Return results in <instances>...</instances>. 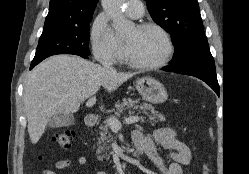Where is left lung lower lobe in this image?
Returning <instances> with one entry per match:
<instances>
[{"mask_svg":"<svg viewBox=\"0 0 249 174\" xmlns=\"http://www.w3.org/2000/svg\"><path fill=\"white\" fill-rule=\"evenodd\" d=\"M163 70L168 71V72H175L179 74L197 77L203 80L205 83H207L219 96L220 89H219V84L217 81L215 69L197 68V69H189V70L180 71L169 66V67L163 68Z\"/></svg>","mask_w":249,"mask_h":174,"instance_id":"1","label":"left lung lower lobe"}]
</instances>
